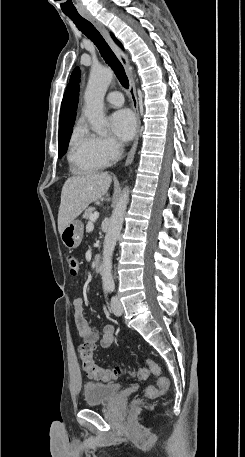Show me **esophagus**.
<instances>
[{"mask_svg": "<svg viewBox=\"0 0 245 457\" xmlns=\"http://www.w3.org/2000/svg\"><path fill=\"white\" fill-rule=\"evenodd\" d=\"M80 15H82V17L89 20L91 23H93V25H95L96 28H98V30H100V32L103 34L104 38L110 45L111 49L115 53L116 57L119 59V61L123 65V67L126 71L127 77L129 79V84H130L129 95L132 100V106H133V110H134V113L136 116V124H137L134 143L132 145V148L130 149V152L127 155V159L125 162V165H129L134 159V155H135L136 148L138 145V140H139V135H140V125H141L139 108H138V100H137V95H136V87H135V83H134V79L132 77L131 71L129 69V66H130L129 59L125 55V53L114 43V41L110 37L108 30H106L104 25H102V23H100L95 17H93V15H91V13H89V12L81 13Z\"/></svg>", "mask_w": 245, "mask_h": 457, "instance_id": "1", "label": "esophagus"}]
</instances>
